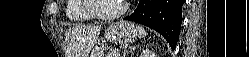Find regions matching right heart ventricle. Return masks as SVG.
<instances>
[{
  "label": "right heart ventricle",
  "mask_w": 249,
  "mask_h": 57,
  "mask_svg": "<svg viewBox=\"0 0 249 57\" xmlns=\"http://www.w3.org/2000/svg\"><path fill=\"white\" fill-rule=\"evenodd\" d=\"M84 0H68L66 16L71 21H88L93 17L83 9Z\"/></svg>",
  "instance_id": "obj_1"
}]
</instances>
